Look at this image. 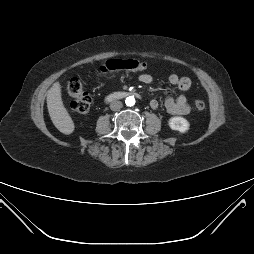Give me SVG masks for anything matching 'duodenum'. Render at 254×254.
Instances as JSON below:
<instances>
[{"instance_id": "obj_1", "label": "duodenum", "mask_w": 254, "mask_h": 254, "mask_svg": "<svg viewBox=\"0 0 254 254\" xmlns=\"http://www.w3.org/2000/svg\"><path fill=\"white\" fill-rule=\"evenodd\" d=\"M130 95H137V94L133 93V92L118 91V92H114V93L109 94L106 97V100L107 101H113V100L123 99L127 96H130Z\"/></svg>"}]
</instances>
